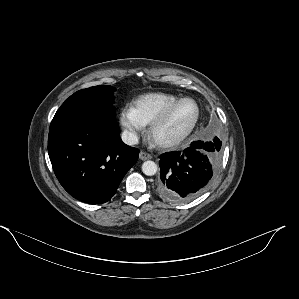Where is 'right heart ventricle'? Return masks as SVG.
I'll use <instances>...</instances> for the list:
<instances>
[{
  "mask_svg": "<svg viewBox=\"0 0 299 299\" xmlns=\"http://www.w3.org/2000/svg\"><path fill=\"white\" fill-rule=\"evenodd\" d=\"M179 97L164 92L147 93L136 98L132 104L138 118L145 124H151L156 117Z\"/></svg>",
  "mask_w": 299,
  "mask_h": 299,
  "instance_id": "right-heart-ventricle-1",
  "label": "right heart ventricle"
}]
</instances>
